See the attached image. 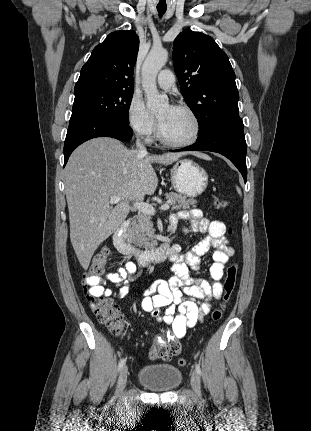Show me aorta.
I'll use <instances>...</instances> for the list:
<instances>
[{
	"label": "aorta",
	"mask_w": 311,
	"mask_h": 431,
	"mask_svg": "<svg viewBox=\"0 0 311 431\" xmlns=\"http://www.w3.org/2000/svg\"><path fill=\"white\" fill-rule=\"evenodd\" d=\"M168 62V52L164 48L150 50L141 68L142 88L147 100V108L151 112H158L161 108L169 106L168 96L159 94L156 86V78L161 68Z\"/></svg>",
	"instance_id": "762f6f07"
}]
</instances>
